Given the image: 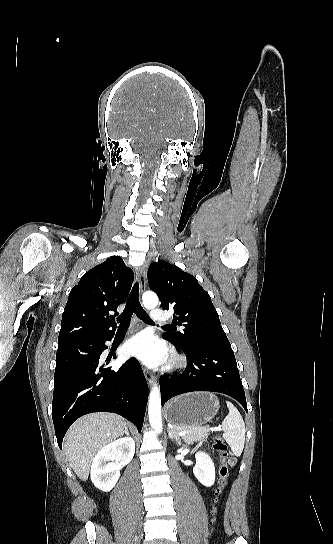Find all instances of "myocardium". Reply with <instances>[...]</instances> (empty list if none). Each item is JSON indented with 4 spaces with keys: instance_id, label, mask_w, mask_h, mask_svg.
I'll use <instances>...</instances> for the list:
<instances>
[{
    "instance_id": "myocardium-1",
    "label": "myocardium",
    "mask_w": 333,
    "mask_h": 544,
    "mask_svg": "<svg viewBox=\"0 0 333 544\" xmlns=\"http://www.w3.org/2000/svg\"><path fill=\"white\" fill-rule=\"evenodd\" d=\"M184 364L183 359L178 355H173L170 361V368L175 369Z\"/></svg>"
}]
</instances>
